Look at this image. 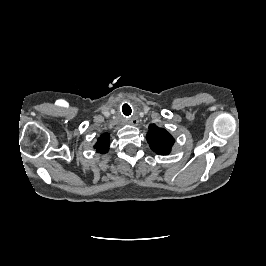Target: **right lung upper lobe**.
I'll use <instances>...</instances> for the list:
<instances>
[{"label": "right lung upper lobe", "mask_w": 266, "mask_h": 266, "mask_svg": "<svg viewBox=\"0 0 266 266\" xmlns=\"http://www.w3.org/2000/svg\"><path fill=\"white\" fill-rule=\"evenodd\" d=\"M110 146L109 134L104 133L99 138L94 148L99 153H106Z\"/></svg>", "instance_id": "right-lung-upper-lobe-1"}]
</instances>
